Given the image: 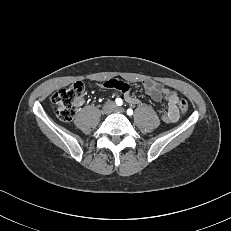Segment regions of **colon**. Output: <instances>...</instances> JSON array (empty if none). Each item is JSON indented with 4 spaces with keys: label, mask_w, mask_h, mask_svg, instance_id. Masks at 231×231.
Wrapping results in <instances>:
<instances>
[{
    "label": "colon",
    "mask_w": 231,
    "mask_h": 231,
    "mask_svg": "<svg viewBox=\"0 0 231 231\" xmlns=\"http://www.w3.org/2000/svg\"><path fill=\"white\" fill-rule=\"evenodd\" d=\"M84 95L85 87L81 82H75L67 88L56 91L51 100L56 108L58 118L64 122L71 121L82 104ZM178 108L181 112H186L189 108L187 100L181 99Z\"/></svg>",
    "instance_id": "obj_1"
}]
</instances>
